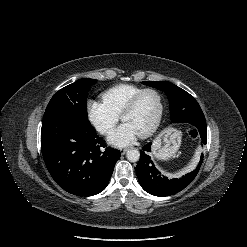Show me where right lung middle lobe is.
Here are the masks:
<instances>
[{
  "mask_svg": "<svg viewBox=\"0 0 247 247\" xmlns=\"http://www.w3.org/2000/svg\"><path fill=\"white\" fill-rule=\"evenodd\" d=\"M96 82L95 79L84 78L60 89L51 98L46 111L65 109L87 117L86 100L88 91Z\"/></svg>",
  "mask_w": 247,
  "mask_h": 247,
  "instance_id": "dd1d6c3e",
  "label": "right lung middle lobe"
}]
</instances>
